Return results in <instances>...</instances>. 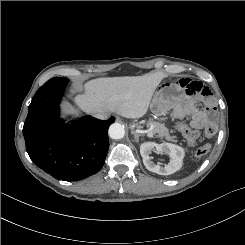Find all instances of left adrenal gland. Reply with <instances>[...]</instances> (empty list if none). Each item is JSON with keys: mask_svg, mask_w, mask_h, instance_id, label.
<instances>
[{"mask_svg": "<svg viewBox=\"0 0 245 245\" xmlns=\"http://www.w3.org/2000/svg\"><path fill=\"white\" fill-rule=\"evenodd\" d=\"M131 133L134 135V139L138 143L139 142V137H141L142 135L141 134H138V133H136L134 131H132Z\"/></svg>", "mask_w": 245, "mask_h": 245, "instance_id": "left-adrenal-gland-1", "label": "left adrenal gland"}]
</instances>
